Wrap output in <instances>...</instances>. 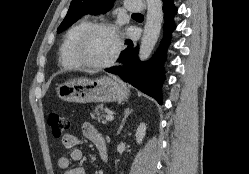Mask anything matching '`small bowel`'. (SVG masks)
I'll use <instances>...</instances> for the list:
<instances>
[{"mask_svg": "<svg viewBox=\"0 0 249 174\" xmlns=\"http://www.w3.org/2000/svg\"><path fill=\"white\" fill-rule=\"evenodd\" d=\"M82 134L85 138L91 140L98 152L100 159L103 162L108 160V149L104 139L97 132L95 127L89 123L85 122L82 125ZM81 143L80 139L74 134H65L62 138V144L65 148H71L72 151L69 156L62 155L58 159V166L65 170L64 174H87V171L82 166H77L70 168L71 161H80L83 158V152L77 146Z\"/></svg>", "mask_w": 249, "mask_h": 174, "instance_id": "1", "label": "small bowel"}]
</instances>
